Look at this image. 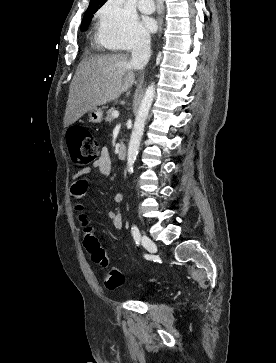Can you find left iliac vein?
Here are the masks:
<instances>
[{"instance_id": "left-iliac-vein-1", "label": "left iliac vein", "mask_w": 276, "mask_h": 363, "mask_svg": "<svg viewBox=\"0 0 276 363\" xmlns=\"http://www.w3.org/2000/svg\"><path fill=\"white\" fill-rule=\"evenodd\" d=\"M141 243L142 245L150 252V253H155L156 252V245L155 243L148 238L147 236L143 235L141 237Z\"/></svg>"}]
</instances>
